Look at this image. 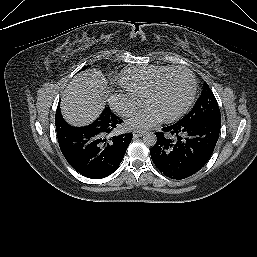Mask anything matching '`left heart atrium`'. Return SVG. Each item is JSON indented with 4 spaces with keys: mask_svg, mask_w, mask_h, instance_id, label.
Here are the masks:
<instances>
[{
    "mask_svg": "<svg viewBox=\"0 0 257 257\" xmlns=\"http://www.w3.org/2000/svg\"><path fill=\"white\" fill-rule=\"evenodd\" d=\"M162 116L152 107H146L137 112L127 122V126L132 129H147L155 126Z\"/></svg>",
    "mask_w": 257,
    "mask_h": 257,
    "instance_id": "1",
    "label": "left heart atrium"
}]
</instances>
